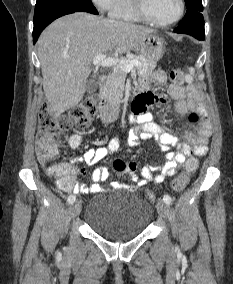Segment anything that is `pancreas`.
I'll list each match as a JSON object with an SVG mask.
<instances>
[{"mask_svg": "<svg viewBox=\"0 0 233 284\" xmlns=\"http://www.w3.org/2000/svg\"><path fill=\"white\" fill-rule=\"evenodd\" d=\"M122 59H137L140 61L141 66L135 68L139 75H149L156 67V63L145 59L141 55H130ZM126 76V72L116 66L113 73L109 76L106 86L102 90V98L107 101L111 108L118 107L122 102Z\"/></svg>", "mask_w": 233, "mask_h": 284, "instance_id": "pancreas-1", "label": "pancreas"}]
</instances>
